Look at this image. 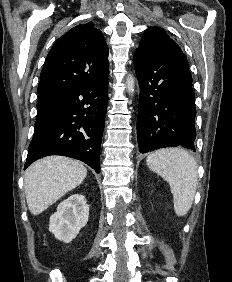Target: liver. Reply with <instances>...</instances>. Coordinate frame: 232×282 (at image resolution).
<instances>
[{
    "label": "liver",
    "mask_w": 232,
    "mask_h": 282,
    "mask_svg": "<svg viewBox=\"0 0 232 282\" xmlns=\"http://www.w3.org/2000/svg\"><path fill=\"white\" fill-rule=\"evenodd\" d=\"M87 169L63 156H48L26 170L24 187L30 212L38 215L82 183Z\"/></svg>",
    "instance_id": "1"
}]
</instances>
